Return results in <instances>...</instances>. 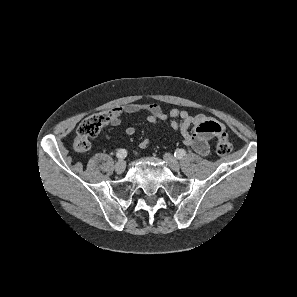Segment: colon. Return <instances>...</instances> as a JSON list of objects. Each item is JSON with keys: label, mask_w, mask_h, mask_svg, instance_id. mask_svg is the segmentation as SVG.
<instances>
[{"label": "colon", "mask_w": 297, "mask_h": 297, "mask_svg": "<svg viewBox=\"0 0 297 297\" xmlns=\"http://www.w3.org/2000/svg\"><path fill=\"white\" fill-rule=\"evenodd\" d=\"M113 112H99L85 118L77 128V136L73 148L78 153H85L90 149V139L95 137L102 127L113 119ZM232 150V143L228 135L221 132L216 141V152L220 156L228 155Z\"/></svg>", "instance_id": "colon-1"}]
</instances>
